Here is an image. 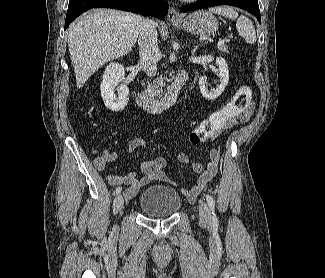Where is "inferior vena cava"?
I'll return each mask as SVG.
<instances>
[{
    "mask_svg": "<svg viewBox=\"0 0 325 278\" xmlns=\"http://www.w3.org/2000/svg\"><path fill=\"white\" fill-rule=\"evenodd\" d=\"M157 25L150 19H144L139 31V63L149 77L157 73L160 52L157 44Z\"/></svg>",
    "mask_w": 325,
    "mask_h": 278,
    "instance_id": "obj_1",
    "label": "inferior vena cava"
}]
</instances>
